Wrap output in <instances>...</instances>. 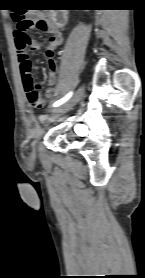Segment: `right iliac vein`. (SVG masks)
Listing matches in <instances>:
<instances>
[{
  "instance_id": "right-iliac-vein-1",
  "label": "right iliac vein",
  "mask_w": 145,
  "mask_h": 278,
  "mask_svg": "<svg viewBox=\"0 0 145 278\" xmlns=\"http://www.w3.org/2000/svg\"><path fill=\"white\" fill-rule=\"evenodd\" d=\"M82 93H83V90H82V88H80L68 102H66L65 104L54 109L52 111V116L55 117L59 114L65 113V112L69 111L71 108H73L81 99Z\"/></svg>"
}]
</instances>
